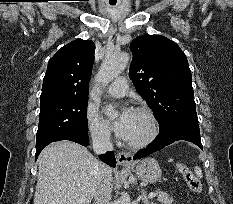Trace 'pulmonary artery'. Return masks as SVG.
I'll use <instances>...</instances> for the list:
<instances>
[{"instance_id": "1", "label": "pulmonary artery", "mask_w": 233, "mask_h": 204, "mask_svg": "<svg viewBox=\"0 0 233 204\" xmlns=\"http://www.w3.org/2000/svg\"><path fill=\"white\" fill-rule=\"evenodd\" d=\"M129 85L125 77L116 78L108 87V93L114 97H122L128 91Z\"/></svg>"}]
</instances>
